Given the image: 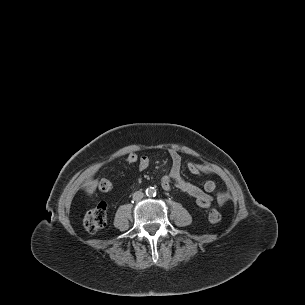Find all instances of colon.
I'll return each instance as SVG.
<instances>
[{
  "mask_svg": "<svg viewBox=\"0 0 305 305\" xmlns=\"http://www.w3.org/2000/svg\"><path fill=\"white\" fill-rule=\"evenodd\" d=\"M141 155L137 150H129L124 155V160L128 165H138ZM99 189L103 192H108L112 189L113 184L109 179H101ZM222 216L218 210H211L208 219L211 223H217ZM107 222V206L105 203H99L96 207L88 210L84 215V226L90 233H94L102 229Z\"/></svg>",
  "mask_w": 305,
  "mask_h": 305,
  "instance_id": "obj_1",
  "label": "colon"
}]
</instances>
